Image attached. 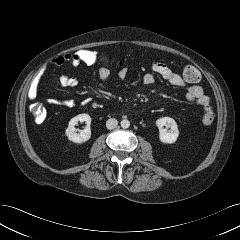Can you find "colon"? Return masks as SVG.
<instances>
[{"mask_svg": "<svg viewBox=\"0 0 240 240\" xmlns=\"http://www.w3.org/2000/svg\"><path fill=\"white\" fill-rule=\"evenodd\" d=\"M69 55L73 66L100 65L101 67H107L112 63L117 66L120 62H123L121 60H112L109 56L88 48L76 50L69 53ZM183 77L189 83H197L200 80L201 75L197 68L189 65L184 68ZM30 113L33 119L38 123L43 122L46 118V109L42 104L37 102L30 105ZM213 119L214 114L211 107H205L201 116L202 123L204 125H209L213 122Z\"/></svg>", "mask_w": 240, "mask_h": 240, "instance_id": "1", "label": "colon"}]
</instances>
